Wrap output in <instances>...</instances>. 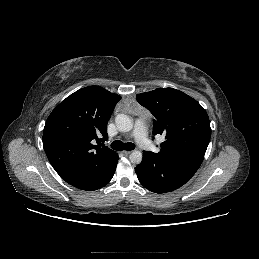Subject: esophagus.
Here are the masks:
<instances>
[{"label":"esophagus","instance_id":"1","mask_svg":"<svg viewBox=\"0 0 259 259\" xmlns=\"http://www.w3.org/2000/svg\"><path fill=\"white\" fill-rule=\"evenodd\" d=\"M131 153V151H123V154L128 156Z\"/></svg>","mask_w":259,"mask_h":259}]
</instances>
